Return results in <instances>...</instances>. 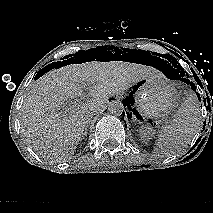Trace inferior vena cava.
<instances>
[{"instance_id": "602c4592", "label": "inferior vena cava", "mask_w": 213, "mask_h": 213, "mask_svg": "<svg viewBox=\"0 0 213 213\" xmlns=\"http://www.w3.org/2000/svg\"><path fill=\"white\" fill-rule=\"evenodd\" d=\"M94 116V111L93 112H90L87 117H86V121H90Z\"/></svg>"}]
</instances>
